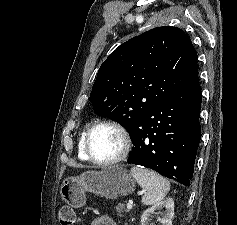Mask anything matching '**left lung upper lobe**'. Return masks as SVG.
<instances>
[{
    "label": "left lung upper lobe",
    "mask_w": 237,
    "mask_h": 225,
    "mask_svg": "<svg viewBox=\"0 0 237 225\" xmlns=\"http://www.w3.org/2000/svg\"><path fill=\"white\" fill-rule=\"evenodd\" d=\"M197 53L177 27L151 29L121 44L101 65L90 102L130 131L156 104L199 83Z\"/></svg>",
    "instance_id": "obj_1"
}]
</instances>
